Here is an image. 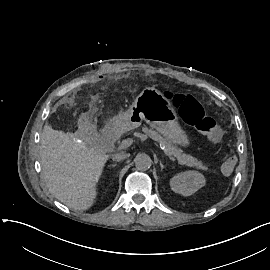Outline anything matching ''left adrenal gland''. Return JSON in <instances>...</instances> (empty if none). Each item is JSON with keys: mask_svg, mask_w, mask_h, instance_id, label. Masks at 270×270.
Returning <instances> with one entry per match:
<instances>
[{"mask_svg": "<svg viewBox=\"0 0 270 270\" xmlns=\"http://www.w3.org/2000/svg\"><path fill=\"white\" fill-rule=\"evenodd\" d=\"M161 170L164 169V165L160 162Z\"/></svg>", "mask_w": 270, "mask_h": 270, "instance_id": "left-adrenal-gland-1", "label": "left adrenal gland"}]
</instances>
